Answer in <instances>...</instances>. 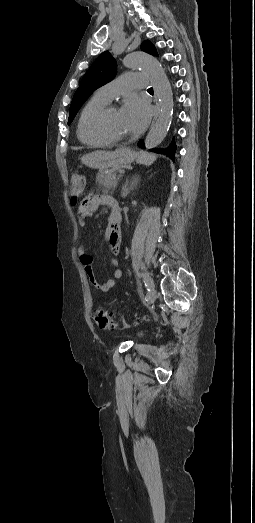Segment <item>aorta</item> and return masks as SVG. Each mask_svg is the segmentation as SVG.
Instances as JSON below:
<instances>
[{
	"label": "aorta",
	"mask_w": 255,
	"mask_h": 523,
	"mask_svg": "<svg viewBox=\"0 0 255 523\" xmlns=\"http://www.w3.org/2000/svg\"><path fill=\"white\" fill-rule=\"evenodd\" d=\"M123 64L128 68H140L148 76L158 97L160 114L145 139V147L154 148L166 137L172 123L174 102L171 84L162 65L151 55L133 52L124 58Z\"/></svg>",
	"instance_id": "762f6f07"
}]
</instances>
